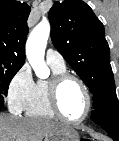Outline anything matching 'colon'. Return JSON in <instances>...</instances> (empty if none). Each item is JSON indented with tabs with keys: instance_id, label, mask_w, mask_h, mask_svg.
<instances>
[{
	"instance_id": "obj_1",
	"label": "colon",
	"mask_w": 119,
	"mask_h": 141,
	"mask_svg": "<svg viewBox=\"0 0 119 141\" xmlns=\"http://www.w3.org/2000/svg\"><path fill=\"white\" fill-rule=\"evenodd\" d=\"M79 141H90V139L89 138H82Z\"/></svg>"
}]
</instances>
